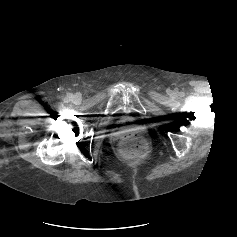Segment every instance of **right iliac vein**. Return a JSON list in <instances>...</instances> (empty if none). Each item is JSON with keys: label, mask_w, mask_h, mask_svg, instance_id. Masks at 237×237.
I'll return each instance as SVG.
<instances>
[{"label": "right iliac vein", "mask_w": 237, "mask_h": 237, "mask_svg": "<svg viewBox=\"0 0 237 237\" xmlns=\"http://www.w3.org/2000/svg\"><path fill=\"white\" fill-rule=\"evenodd\" d=\"M74 101H75L76 103H79V102H80V97H79V96H75V97H74Z\"/></svg>", "instance_id": "1"}]
</instances>
